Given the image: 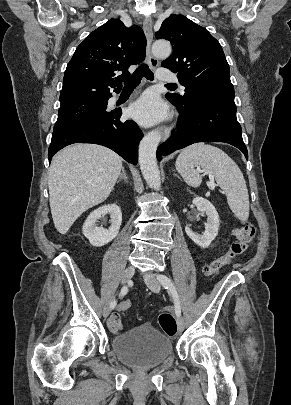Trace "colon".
Returning a JSON list of instances; mask_svg holds the SVG:
<instances>
[{"instance_id":"colon-1","label":"colon","mask_w":291,"mask_h":405,"mask_svg":"<svg viewBox=\"0 0 291 405\" xmlns=\"http://www.w3.org/2000/svg\"><path fill=\"white\" fill-rule=\"evenodd\" d=\"M255 235V228L253 225L247 224L234 228L233 237L227 252L221 257L213 260L211 263L204 267V274L206 276H214L221 268L231 263L235 258L244 254L248 249ZM131 307V301L125 299L118 305L116 312L112 317H121ZM159 325L162 330L169 336H174L177 333V323L174 316L169 312H163L158 318Z\"/></svg>"}]
</instances>
